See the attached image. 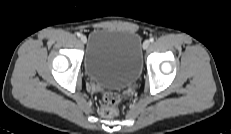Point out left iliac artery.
Returning <instances> with one entry per match:
<instances>
[{"label": "left iliac artery", "mask_w": 231, "mask_h": 134, "mask_svg": "<svg viewBox=\"0 0 231 134\" xmlns=\"http://www.w3.org/2000/svg\"><path fill=\"white\" fill-rule=\"evenodd\" d=\"M150 42H154V38H150Z\"/></svg>", "instance_id": "left-iliac-artery-1"}]
</instances>
